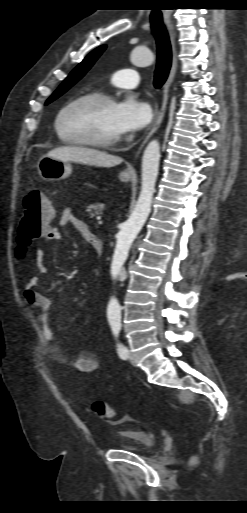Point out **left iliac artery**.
Masks as SVG:
<instances>
[{
  "mask_svg": "<svg viewBox=\"0 0 247 513\" xmlns=\"http://www.w3.org/2000/svg\"><path fill=\"white\" fill-rule=\"evenodd\" d=\"M110 325H111L112 332H113L114 336L117 338L119 336V333H120V330L122 327L120 320H113V321H111ZM117 352H118L120 358H122L124 360H126L128 358L129 351H128L127 347L124 346L120 342L117 343Z\"/></svg>",
  "mask_w": 247,
  "mask_h": 513,
  "instance_id": "44dca946",
  "label": "left iliac artery"
}]
</instances>
